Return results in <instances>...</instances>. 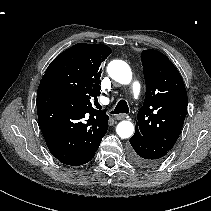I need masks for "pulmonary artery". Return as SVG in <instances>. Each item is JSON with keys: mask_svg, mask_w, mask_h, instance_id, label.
<instances>
[{"mask_svg": "<svg viewBox=\"0 0 211 211\" xmlns=\"http://www.w3.org/2000/svg\"><path fill=\"white\" fill-rule=\"evenodd\" d=\"M132 91L135 97H138L140 93V84L137 81L132 83Z\"/></svg>", "mask_w": 211, "mask_h": 211, "instance_id": "1", "label": "pulmonary artery"}]
</instances>
